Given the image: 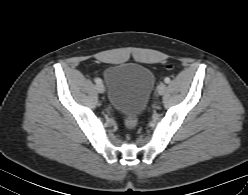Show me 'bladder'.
I'll return each instance as SVG.
<instances>
[{"label": "bladder", "mask_w": 248, "mask_h": 195, "mask_svg": "<svg viewBox=\"0 0 248 195\" xmlns=\"http://www.w3.org/2000/svg\"><path fill=\"white\" fill-rule=\"evenodd\" d=\"M111 105L125 114H140L154 86V75L137 63H117L104 72Z\"/></svg>", "instance_id": "31cf9c89"}]
</instances>
